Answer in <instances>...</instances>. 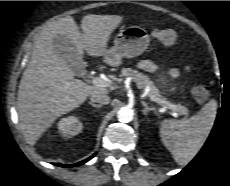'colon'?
I'll list each match as a JSON object with an SVG mask.
<instances>
[{"label":"colon","instance_id":"colon-1","mask_svg":"<svg viewBox=\"0 0 230 186\" xmlns=\"http://www.w3.org/2000/svg\"><path fill=\"white\" fill-rule=\"evenodd\" d=\"M153 36L160 42L171 45L177 40V33L175 30L170 28L155 29ZM192 96L196 102L202 104L209 97V89L203 84H196L192 89Z\"/></svg>","mask_w":230,"mask_h":186}]
</instances>
